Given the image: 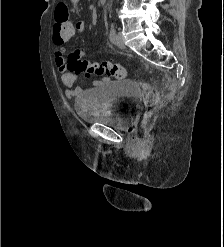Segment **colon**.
<instances>
[{"instance_id": "obj_1", "label": "colon", "mask_w": 224, "mask_h": 247, "mask_svg": "<svg viewBox=\"0 0 224 247\" xmlns=\"http://www.w3.org/2000/svg\"><path fill=\"white\" fill-rule=\"evenodd\" d=\"M53 35L60 39L71 40L75 36L74 23L70 19V13L65 3H59L55 9ZM68 69L75 74L107 75L122 79L126 76L125 69L115 63L89 62L83 58L82 51L76 50L68 57ZM142 99L146 106L152 107L157 103L158 93L156 89L148 83L142 84Z\"/></svg>"}]
</instances>
